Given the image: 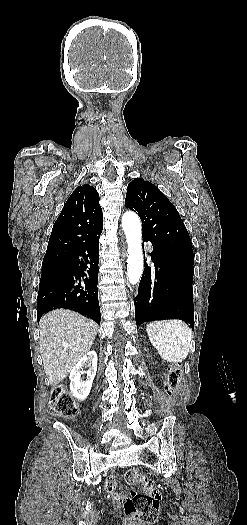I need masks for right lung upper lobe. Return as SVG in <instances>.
I'll return each mask as SVG.
<instances>
[{
  "mask_svg": "<svg viewBox=\"0 0 247 525\" xmlns=\"http://www.w3.org/2000/svg\"><path fill=\"white\" fill-rule=\"evenodd\" d=\"M102 229L103 215L97 190L88 184L77 187L53 225L44 260L72 252L100 235Z\"/></svg>",
  "mask_w": 247,
  "mask_h": 525,
  "instance_id": "cb5924a9",
  "label": "right lung upper lobe"
}]
</instances>
